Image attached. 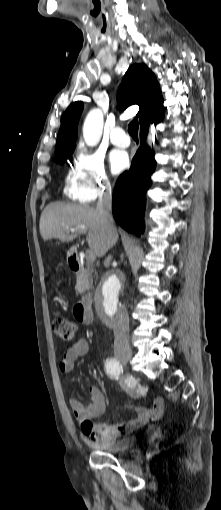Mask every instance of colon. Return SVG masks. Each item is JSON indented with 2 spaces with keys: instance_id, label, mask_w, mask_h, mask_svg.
Wrapping results in <instances>:
<instances>
[{
  "instance_id": "obj_1",
  "label": "colon",
  "mask_w": 221,
  "mask_h": 510,
  "mask_svg": "<svg viewBox=\"0 0 221 510\" xmlns=\"http://www.w3.org/2000/svg\"><path fill=\"white\" fill-rule=\"evenodd\" d=\"M52 329L56 336L66 344L72 343L78 334L77 324L65 317H56L52 322Z\"/></svg>"
}]
</instances>
